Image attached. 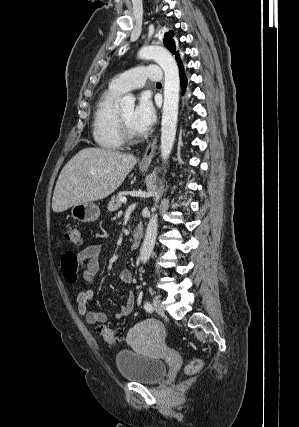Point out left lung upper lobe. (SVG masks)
I'll return each instance as SVG.
<instances>
[{
    "label": "left lung upper lobe",
    "mask_w": 299,
    "mask_h": 427,
    "mask_svg": "<svg viewBox=\"0 0 299 427\" xmlns=\"http://www.w3.org/2000/svg\"><path fill=\"white\" fill-rule=\"evenodd\" d=\"M173 35H174V33H173V31H169L168 33H165V35H164V40H163V43H164V46L172 53V54H175L177 51H176V47H175V43H174V40H173Z\"/></svg>",
    "instance_id": "5c2ea615"
}]
</instances>
